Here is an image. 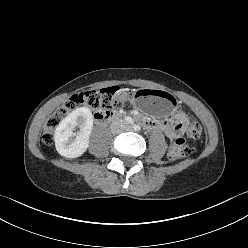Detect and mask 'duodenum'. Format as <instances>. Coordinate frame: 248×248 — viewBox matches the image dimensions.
Returning <instances> with one entry per match:
<instances>
[{
    "instance_id": "obj_1",
    "label": "duodenum",
    "mask_w": 248,
    "mask_h": 248,
    "mask_svg": "<svg viewBox=\"0 0 248 248\" xmlns=\"http://www.w3.org/2000/svg\"><path fill=\"white\" fill-rule=\"evenodd\" d=\"M118 116L113 112L97 113L95 114V119L98 122H108L117 119Z\"/></svg>"
}]
</instances>
